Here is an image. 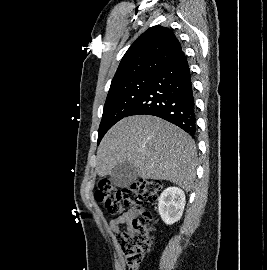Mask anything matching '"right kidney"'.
I'll return each instance as SVG.
<instances>
[{
    "mask_svg": "<svg viewBox=\"0 0 267 270\" xmlns=\"http://www.w3.org/2000/svg\"><path fill=\"white\" fill-rule=\"evenodd\" d=\"M158 201L159 214L167 225H172L181 218L186 202L182 189L168 187L161 193Z\"/></svg>",
    "mask_w": 267,
    "mask_h": 270,
    "instance_id": "ca27d5eb",
    "label": "right kidney"
}]
</instances>
